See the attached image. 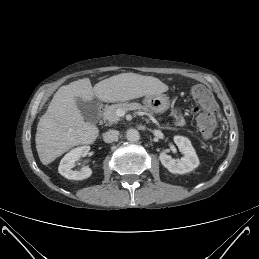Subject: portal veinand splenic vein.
Listing matches in <instances>:
<instances>
[{
	"instance_id": "18ae733b",
	"label": "portal vein and splenic vein",
	"mask_w": 259,
	"mask_h": 259,
	"mask_svg": "<svg viewBox=\"0 0 259 259\" xmlns=\"http://www.w3.org/2000/svg\"><path fill=\"white\" fill-rule=\"evenodd\" d=\"M117 113H118V114H117L118 116H123V115L125 114V111H123V110H118Z\"/></svg>"
}]
</instances>
